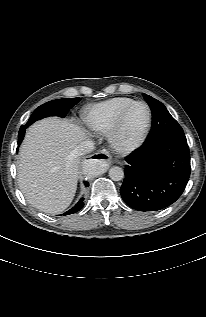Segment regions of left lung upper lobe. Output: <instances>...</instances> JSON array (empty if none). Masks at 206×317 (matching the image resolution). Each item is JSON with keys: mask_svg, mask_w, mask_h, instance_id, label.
<instances>
[{"mask_svg": "<svg viewBox=\"0 0 206 317\" xmlns=\"http://www.w3.org/2000/svg\"><path fill=\"white\" fill-rule=\"evenodd\" d=\"M152 111V128L146 143L162 139L186 140L184 132L178 122L170 115L166 107L155 98L143 94Z\"/></svg>", "mask_w": 206, "mask_h": 317, "instance_id": "1", "label": "left lung upper lobe"}]
</instances>
